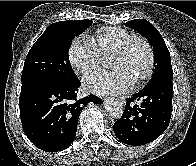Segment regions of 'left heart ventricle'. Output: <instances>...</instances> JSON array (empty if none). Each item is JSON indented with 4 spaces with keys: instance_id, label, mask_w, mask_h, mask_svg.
Returning a JSON list of instances; mask_svg holds the SVG:
<instances>
[{
    "instance_id": "b2bd125f",
    "label": "left heart ventricle",
    "mask_w": 196,
    "mask_h": 166,
    "mask_svg": "<svg viewBox=\"0 0 196 166\" xmlns=\"http://www.w3.org/2000/svg\"><path fill=\"white\" fill-rule=\"evenodd\" d=\"M147 64L148 52L141 43H136L127 56L113 55L110 60L111 67L123 69L134 81L144 72Z\"/></svg>"
}]
</instances>
